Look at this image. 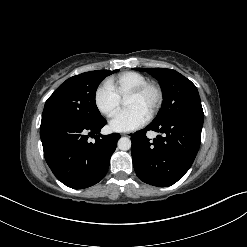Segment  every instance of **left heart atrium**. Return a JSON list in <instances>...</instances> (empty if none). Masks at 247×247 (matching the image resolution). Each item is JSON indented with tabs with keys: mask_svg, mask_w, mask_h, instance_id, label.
I'll list each match as a JSON object with an SVG mask.
<instances>
[{
	"mask_svg": "<svg viewBox=\"0 0 247 247\" xmlns=\"http://www.w3.org/2000/svg\"><path fill=\"white\" fill-rule=\"evenodd\" d=\"M148 117V114L139 107H129L120 111L109 125L113 131L128 132L144 125Z\"/></svg>",
	"mask_w": 247,
	"mask_h": 247,
	"instance_id": "left-heart-atrium-1",
	"label": "left heart atrium"
}]
</instances>
